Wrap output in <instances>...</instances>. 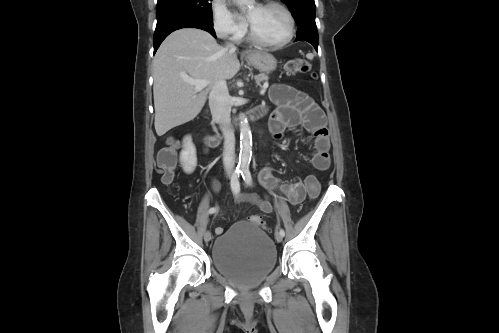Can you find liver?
<instances>
[{"mask_svg": "<svg viewBox=\"0 0 499 333\" xmlns=\"http://www.w3.org/2000/svg\"><path fill=\"white\" fill-rule=\"evenodd\" d=\"M240 70L235 50L218 45L206 31L183 28L171 33L153 60L155 130L170 129L193 120L202 110L209 89L219 79H231ZM185 78L204 79L208 88L196 91Z\"/></svg>", "mask_w": 499, "mask_h": 333, "instance_id": "liver-1", "label": "liver"}]
</instances>
